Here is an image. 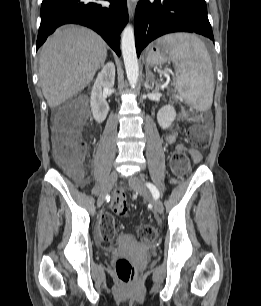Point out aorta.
I'll return each instance as SVG.
<instances>
[{"label": "aorta", "mask_w": 261, "mask_h": 306, "mask_svg": "<svg viewBox=\"0 0 261 306\" xmlns=\"http://www.w3.org/2000/svg\"><path fill=\"white\" fill-rule=\"evenodd\" d=\"M121 50L129 84L134 88L138 81L139 66L135 48L134 30L129 24L122 32Z\"/></svg>", "instance_id": "obj_1"}]
</instances>
